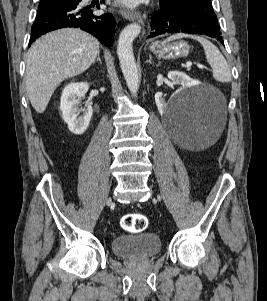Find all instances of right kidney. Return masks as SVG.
I'll use <instances>...</instances> for the list:
<instances>
[{
  "instance_id": "right-kidney-1",
  "label": "right kidney",
  "mask_w": 267,
  "mask_h": 301,
  "mask_svg": "<svg viewBox=\"0 0 267 301\" xmlns=\"http://www.w3.org/2000/svg\"><path fill=\"white\" fill-rule=\"evenodd\" d=\"M88 88L89 84L86 82L71 83L62 92L60 101L62 118L68 124L69 130L76 135H81L86 131L92 117L93 110L90 104L87 103L79 108V103ZM81 112L83 115L79 116Z\"/></svg>"
}]
</instances>
